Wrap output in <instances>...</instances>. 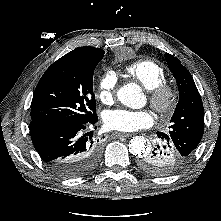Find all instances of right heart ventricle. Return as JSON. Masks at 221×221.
<instances>
[{
	"label": "right heart ventricle",
	"mask_w": 221,
	"mask_h": 221,
	"mask_svg": "<svg viewBox=\"0 0 221 221\" xmlns=\"http://www.w3.org/2000/svg\"><path fill=\"white\" fill-rule=\"evenodd\" d=\"M125 70L148 90L162 83L166 78L164 68L149 59L137 60L129 64Z\"/></svg>",
	"instance_id": "e07e8e85"
}]
</instances>
